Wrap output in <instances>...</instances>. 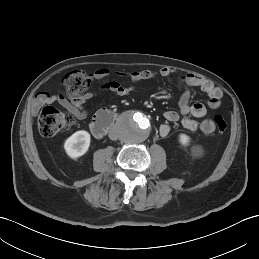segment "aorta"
<instances>
[{"label":"aorta","mask_w":259,"mask_h":259,"mask_svg":"<svg viewBox=\"0 0 259 259\" xmlns=\"http://www.w3.org/2000/svg\"><path fill=\"white\" fill-rule=\"evenodd\" d=\"M150 129L149 119L140 112L122 116L117 125L121 140L131 144L145 141L149 137Z\"/></svg>","instance_id":"aorta-1"}]
</instances>
